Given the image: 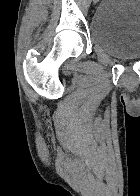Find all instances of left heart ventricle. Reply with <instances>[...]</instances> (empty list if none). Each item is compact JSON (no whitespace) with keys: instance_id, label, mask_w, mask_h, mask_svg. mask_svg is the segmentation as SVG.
I'll list each match as a JSON object with an SVG mask.
<instances>
[{"instance_id":"b2bd125f","label":"left heart ventricle","mask_w":140,"mask_h":196,"mask_svg":"<svg viewBox=\"0 0 140 196\" xmlns=\"http://www.w3.org/2000/svg\"><path fill=\"white\" fill-rule=\"evenodd\" d=\"M106 192H117V191H106Z\"/></svg>"}]
</instances>
